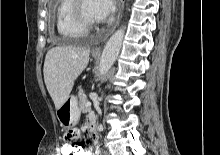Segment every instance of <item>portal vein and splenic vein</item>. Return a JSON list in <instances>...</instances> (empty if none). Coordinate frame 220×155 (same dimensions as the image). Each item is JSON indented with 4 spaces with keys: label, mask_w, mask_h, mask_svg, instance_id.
<instances>
[{
    "label": "portal vein and splenic vein",
    "mask_w": 220,
    "mask_h": 155,
    "mask_svg": "<svg viewBox=\"0 0 220 155\" xmlns=\"http://www.w3.org/2000/svg\"><path fill=\"white\" fill-rule=\"evenodd\" d=\"M86 107H90L91 106V102L88 101L86 104H85Z\"/></svg>",
    "instance_id": "portal-vein-and-splenic-vein-1"
}]
</instances>
